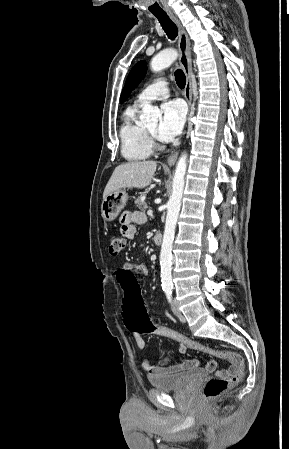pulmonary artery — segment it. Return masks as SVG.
Wrapping results in <instances>:
<instances>
[{
  "mask_svg": "<svg viewBox=\"0 0 289 449\" xmlns=\"http://www.w3.org/2000/svg\"><path fill=\"white\" fill-rule=\"evenodd\" d=\"M168 83L163 79H158L146 87L137 97L135 104L160 100L168 96Z\"/></svg>",
  "mask_w": 289,
  "mask_h": 449,
  "instance_id": "pulmonary-artery-1",
  "label": "pulmonary artery"
}]
</instances>
